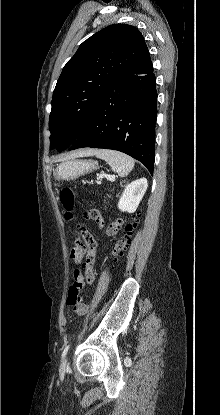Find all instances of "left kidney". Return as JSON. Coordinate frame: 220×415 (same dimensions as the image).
Segmentation results:
<instances>
[{"instance_id":"left-kidney-1","label":"left kidney","mask_w":220,"mask_h":415,"mask_svg":"<svg viewBox=\"0 0 220 415\" xmlns=\"http://www.w3.org/2000/svg\"><path fill=\"white\" fill-rule=\"evenodd\" d=\"M147 187L148 183L146 178H141L128 184L120 197L118 208L123 212H135Z\"/></svg>"}]
</instances>
